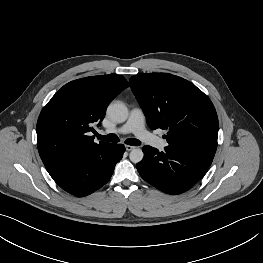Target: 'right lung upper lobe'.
<instances>
[{
	"mask_svg": "<svg viewBox=\"0 0 263 263\" xmlns=\"http://www.w3.org/2000/svg\"><path fill=\"white\" fill-rule=\"evenodd\" d=\"M128 86L122 75L92 76L67 83L51 98L37 121V146L52 178L110 144L95 143L89 132L103 120L114 96Z\"/></svg>",
	"mask_w": 263,
	"mask_h": 263,
	"instance_id": "right-lung-upper-lobe-1",
	"label": "right lung upper lobe"
}]
</instances>
